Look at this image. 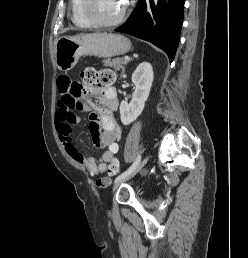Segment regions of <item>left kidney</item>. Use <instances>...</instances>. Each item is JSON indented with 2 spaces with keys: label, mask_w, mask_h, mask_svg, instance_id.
Returning a JSON list of instances; mask_svg holds the SVG:
<instances>
[{
  "label": "left kidney",
  "mask_w": 248,
  "mask_h": 258,
  "mask_svg": "<svg viewBox=\"0 0 248 258\" xmlns=\"http://www.w3.org/2000/svg\"><path fill=\"white\" fill-rule=\"evenodd\" d=\"M153 78V68L148 62L140 63L132 74V82L135 85L132 100L130 103L123 100L120 104V118L123 125L131 124L142 113L150 94Z\"/></svg>",
  "instance_id": "obj_1"
}]
</instances>
